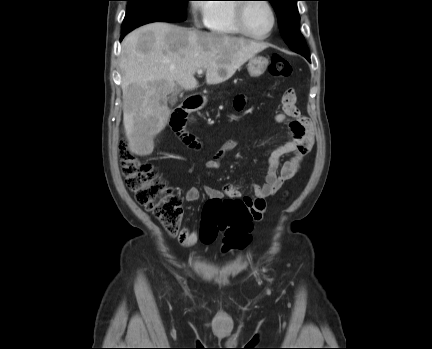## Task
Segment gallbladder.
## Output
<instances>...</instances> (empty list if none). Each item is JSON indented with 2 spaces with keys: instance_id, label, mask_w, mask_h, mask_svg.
Segmentation results:
<instances>
[{
  "instance_id": "obj_1",
  "label": "gallbladder",
  "mask_w": 432,
  "mask_h": 349,
  "mask_svg": "<svg viewBox=\"0 0 432 349\" xmlns=\"http://www.w3.org/2000/svg\"><path fill=\"white\" fill-rule=\"evenodd\" d=\"M180 92V88L178 86L175 87V91L171 94L169 97V101L171 104H173L176 101V97Z\"/></svg>"
}]
</instances>
